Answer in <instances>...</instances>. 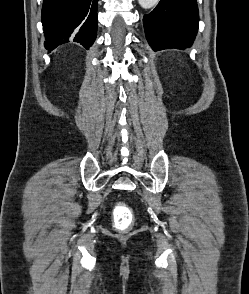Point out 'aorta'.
I'll list each match as a JSON object with an SVG mask.
<instances>
[{
	"label": "aorta",
	"mask_w": 249,
	"mask_h": 294,
	"mask_svg": "<svg viewBox=\"0 0 249 294\" xmlns=\"http://www.w3.org/2000/svg\"><path fill=\"white\" fill-rule=\"evenodd\" d=\"M139 4L144 9H149L155 6L159 0H138Z\"/></svg>",
	"instance_id": "762f6f07"
}]
</instances>
